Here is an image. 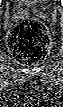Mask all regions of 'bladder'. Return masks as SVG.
I'll use <instances>...</instances> for the list:
<instances>
[{"instance_id": "obj_1", "label": "bladder", "mask_w": 63, "mask_h": 107, "mask_svg": "<svg viewBox=\"0 0 63 107\" xmlns=\"http://www.w3.org/2000/svg\"><path fill=\"white\" fill-rule=\"evenodd\" d=\"M14 2L19 4H37L40 3L41 0H14Z\"/></svg>"}]
</instances>
